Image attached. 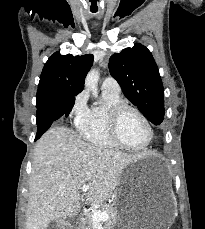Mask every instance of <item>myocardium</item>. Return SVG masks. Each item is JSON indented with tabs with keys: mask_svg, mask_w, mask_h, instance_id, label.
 Returning <instances> with one entry per match:
<instances>
[{
	"mask_svg": "<svg viewBox=\"0 0 205 229\" xmlns=\"http://www.w3.org/2000/svg\"><path fill=\"white\" fill-rule=\"evenodd\" d=\"M134 112L146 125L148 130V139L142 146L133 147L127 145L120 137V122L123 115L128 112ZM108 126H109V133L112 140L121 148L130 150V151H142L149 147L153 140L154 132L153 127L148 120V118L136 107L129 105L127 103H120L117 105L112 106L108 112Z\"/></svg>",
	"mask_w": 205,
	"mask_h": 229,
	"instance_id": "myocardium-1",
	"label": "myocardium"
}]
</instances>
